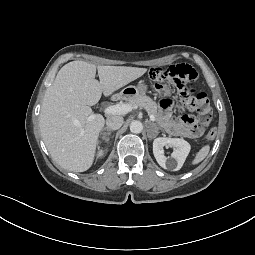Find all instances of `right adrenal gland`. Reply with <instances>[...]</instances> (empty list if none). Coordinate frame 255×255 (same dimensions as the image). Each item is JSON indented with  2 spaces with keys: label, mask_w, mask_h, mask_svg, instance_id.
I'll list each match as a JSON object with an SVG mask.
<instances>
[{
  "label": "right adrenal gland",
  "mask_w": 255,
  "mask_h": 255,
  "mask_svg": "<svg viewBox=\"0 0 255 255\" xmlns=\"http://www.w3.org/2000/svg\"><path fill=\"white\" fill-rule=\"evenodd\" d=\"M108 132H111L112 130L111 129H109L108 127H106L105 128Z\"/></svg>",
  "instance_id": "right-adrenal-gland-1"
}]
</instances>
